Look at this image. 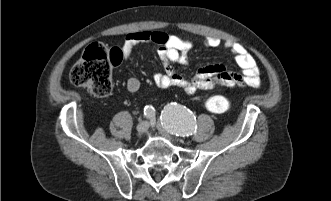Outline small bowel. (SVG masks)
Wrapping results in <instances>:
<instances>
[{
	"instance_id": "c3829d8e",
	"label": "small bowel",
	"mask_w": 331,
	"mask_h": 201,
	"mask_svg": "<svg viewBox=\"0 0 331 201\" xmlns=\"http://www.w3.org/2000/svg\"><path fill=\"white\" fill-rule=\"evenodd\" d=\"M155 43L159 45L158 55L164 72H157L153 80L161 88L179 87L187 94H194L201 89H211L215 85L226 87L248 86L257 88L260 85V70L254 57L240 43L225 41L222 42L216 37H205L202 44L208 48L223 47L230 51L241 73L229 71L223 65H207L201 67L196 75L187 80L179 75L173 64L186 65L188 63L187 53L194 46V43L186 38L167 34L160 31H137L128 33L121 47L122 58L127 60L134 47L139 44ZM141 83L138 78L130 77L127 80L126 88L130 93H136Z\"/></svg>"
}]
</instances>
